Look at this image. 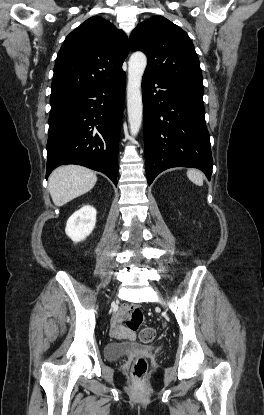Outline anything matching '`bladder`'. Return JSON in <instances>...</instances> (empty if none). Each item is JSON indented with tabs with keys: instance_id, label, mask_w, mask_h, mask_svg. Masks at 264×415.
<instances>
[{
	"instance_id": "1",
	"label": "bladder",
	"mask_w": 264,
	"mask_h": 415,
	"mask_svg": "<svg viewBox=\"0 0 264 415\" xmlns=\"http://www.w3.org/2000/svg\"><path fill=\"white\" fill-rule=\"evenodd\" d=\"M135 352L158 353L160 349L155 345H141L134 342L112 343L107 344L104 348L106 358L111 361H118L120 358Z\"/></svg>"
}]
</instances>
